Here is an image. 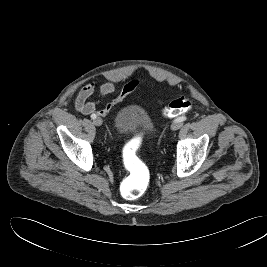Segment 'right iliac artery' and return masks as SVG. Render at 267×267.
I'll list each match as a JSON object with an SVG mask.
<instances>
[{
	"mask_svg": "<svg viewBox=\"0 0 267 267\" xmlns=\"http://www.w3.org/2000/svg\"><path fill=\"white\" fill-rule=\"evenodd\" d=\"M91 118H92V119H95V118H96V115H95V114H92V115H91Z\"/></svg>",
	"mask_w": 267,
	"mask_h": 267,
	"instance_id": "right-iliac-artery-1",
	"label": "right iliac artery"
}]
</instances>
